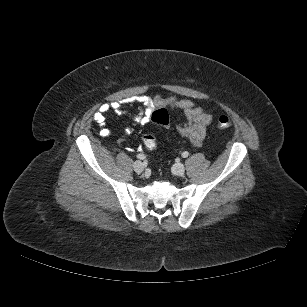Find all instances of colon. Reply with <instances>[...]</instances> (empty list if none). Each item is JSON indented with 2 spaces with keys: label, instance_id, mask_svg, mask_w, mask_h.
Instances as JSON below:
<instances>
[{
  "label": "colon",
  "instance_id": "obj_1",
  "mask_svg": "<svg viewBox=\"0 0 307 307\" xmlns=\"http://www.w3.org/2000/svg\"><path fill=\"white\" fill-rule=\"evenodd\" d=\"M151 119L156 124L162 126H169L170 124V115L168 111L164 108L158 109L154 111L151 115ZM231 126V119L226 116L222 115L218 118L217 127L220 129H225ZM142 144L148 150H153L157 146V139L153 134L147 133L142 137Z\"/></svg>",
  "mask_w": 307,
  "mask_h": 307
}]
</instances>
